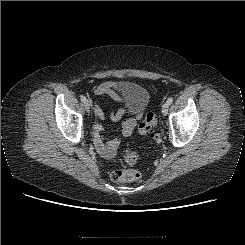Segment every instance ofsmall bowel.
<instances>
[{
  "mask_svg": "<svg viewBox=\"0 0 245 245\" xmlns=\"http://www.w3.org/2000/svg\"><path fill=\"white\" fill-rule=\"evenodd\" d=\"M119 87V83L114 81H107L97 85L93 92L95 95H108L114 100L122 101L121 96L117 92ZM95 111L101 119L105 117L104 112L98 104H95ZM126 112L127 108L124 107L116 112H110V117L113 121H119ZM142 116L143 110H136L133 116L129 117L123 122L120 137L113 138L108 141H106L103 137L104 127L97 125L95 127L94 144L99 154L105 158H113L116 155L117 149L120 146L122 139L132 134Z\"/></svg>",
  "mask_w": 245,
  "mask_h": 245,
  "instance_id": "obj_1",
  "label": "small bowel"
}]
</instances>
